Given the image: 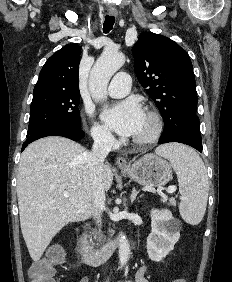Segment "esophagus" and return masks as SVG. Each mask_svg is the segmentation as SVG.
<instances>
[{
    "label": "esophagus",
    "mask_w": 232,
    "mask_h": 282,
    "mask_svg": "<svg viewBox=\"0 0 232 282\" xmlns=\"http://www.w3.org/2000/svg\"><path fill=\"white\" fill-rule=\"evenodd\" d=\"M109 14L111 15V16H117L118 15V12H117V10H110L109 11ZM116 165L119 167V168H127L129 165H128V162H127V160H126V158L125 157H123V156H118L117 158H116Z\"/></svg>",
    "instance_id": "esophagus-1"
}]
</instances>
